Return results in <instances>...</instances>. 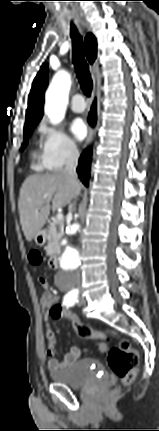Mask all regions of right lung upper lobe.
<instances>
[{"label": "right lung upper lobe", "mask_w": 159, "mask_h": 431, "mask_svg": "<svg viewBox=\"0 0 159 431\" xmlns=\"http://www.w3.org/2000/svg\"><path fill=\"white\" fill-rule=\"evenodd\" d=\"M96 39L89 33L85 38L86 56L89 63L96 58ZM48 84V66L43 64L35 77L32 89L28 97V108L26 110V122L24 129L35 126L43 115L44 92Z\"/></svg>", "instance_id": "right-lung-upper-lobe-1"}]
</instances>
